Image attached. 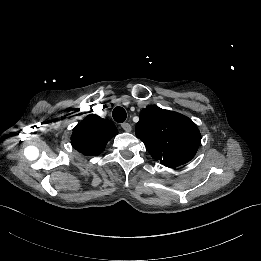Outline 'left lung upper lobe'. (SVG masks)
I'll return each instance as SVG.
<instances>
[{
  "instance_id": "obj_1",
  "label": "left lung upper lobe",
  "mask_w": 261,
  "mask_h": 261,
  "mask_svg": "<svg viewBox=\"0 0 261 261\" xmlns=\"http://www.w3.org/2000/svg\"><path fill=\"white\" fill-rule=\"evenodd\" d=\"M135 133L155 160L171 168L190 161L201 141L191 119L154 105L141 111Z\"/></svg>"
}]
</instances>
